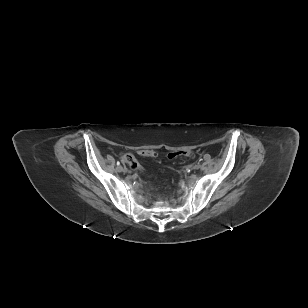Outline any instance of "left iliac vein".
<instances>
[{"mask_svg": "<svg viewBox=\"0 0 308 308\" xmlns=\"http://www.w3.org/2000/svg\"><path fill=\"white\" fill-rule=\"evenodd\" d=\"M199 168H200V165H199V164H196V165L193 166V169H195V170H197V169H199Z\"/></svg>", "mask_w": 308, "mask_h": 308, "instance_id": "left-iliac-vein-1", "label": "left iliac vein"}]
</instances>
